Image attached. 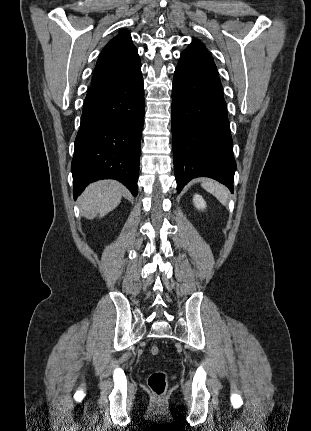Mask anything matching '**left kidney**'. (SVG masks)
I'll return each instance as SVG.
<instances>
[{
  "mask_svg": "<svg viewBox=\"0 0 311 431\" xmlns=\"http://www.w3.org/2000/svg\"><path fill=\"white\" fill-rule=\"evenodd\" d=\"M193 202L195 208H198V210H204V208H206V202H204L202 196H198V194H195Z\"/></svg>",
  "mask_w": 311,
  "mask_h": 431,
  "instance_id": "left-kidney-1",
  "label": "left kidney"
}]
</instances>
